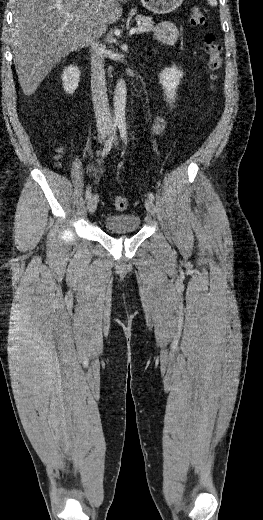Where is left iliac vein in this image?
<instances>
[{
    "instance_id": "4c4485c4",
    "label": "left iliac vein",
    "mask_w": 263,
    "mask_h": 520,
    "mask_svg": "<svg viewBox=\"0 0 263 520\" xmlns=\"http://www.w3.org/2000/svg\"><path fill=\"white\" fill-rule=\"evenodd\" d=\"M114 143H115V144L117 143V142H116V138H115ZM145 207H146L147 212H148L150 215H153V216L155 215V211H156V209H155V205H154V203H153V201H152L151 199H146V201H145Z\"/></svg>"
}]
</instances>
